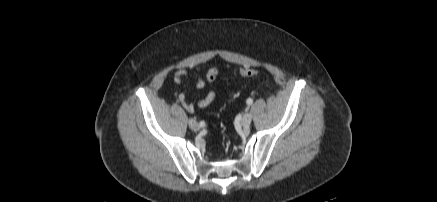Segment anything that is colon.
Wrapping results in <instances>:
<instances>
[{
  "label": "colon",
  "instance_id": "5ec220e1",
  "mask_svg": "<svg viewBox=\"0 0 437 202\" xmlns=\"http://www.w3.org/2000/svg\"><path fill=\"white\" fill-rule=\"evenodd\" d=\"M258 70L253 68H245L239 71L238 76L239 77H254L258 75Z\"/></svg>",
  "mask_w": 437,
  "mask_h": 202
}]
</instances>
